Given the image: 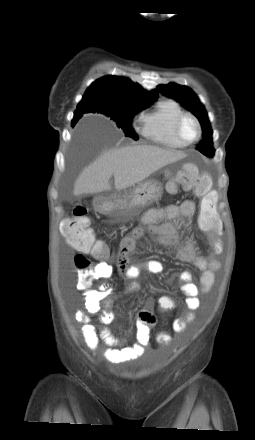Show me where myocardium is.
<instances>
[{
  "instance_id": "myocardium-1",
  "label": "myocardium",
  "mask_w": 255,
  "mask_h": 440,
  "mask_svg": "<svg viewBox=\"0 0 255 440\" xmlns=\"http://www.w3.org/2000/svg\"><path fill=\"white\" fill-rule=\"evenodd\" d=\"M187 119L192 120L196 126V136L193 140L185 139L181 133V126H182L183 122ZM174 133H175V136L177 137V139L181 143L185 144L186 146L195 143L196 141H198L200 139V137L202 135V127H201L199 119L192 113L184 112L182 115H180L177 118V120L175 122Z\"/></svg>"
}]
</instances>
